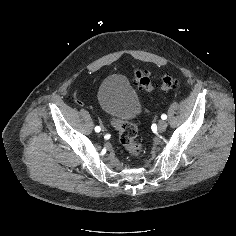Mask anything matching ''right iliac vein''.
Segmentation results:
<instances>
[{"label": "right iliac vein", "mask_w": 236, "mask_h": 236, "mask_svg": "<svg viewBox=\"0 0 236 236\" xmlns=\"http://www.w3.org/2000/svg\"><path fill=\"white\" fill-rule=\"evenodd\" d=\"M96 121L99 124V126H101V128H100L101 131H103V132L106 131V129H107L105 126L106 123H105V121H103V119L100 116L96 117Z\"/></svg>", "instance_id": "1"}]
</instances>
